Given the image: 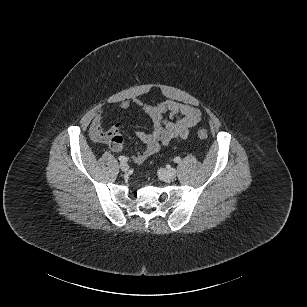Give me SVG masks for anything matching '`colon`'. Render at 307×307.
Returning a JSON list of instances; mask_svg holds the SVG:
<instances>
[{
    "mask_svg": "<svg viewBox=\"0 0 307 307\" xmlns=\"http://www.w3.org/2000/svg\"><path fill=\"white\" fill-rule=\"evenodd\" d=\"M197 136L201 140H206L208 138V131L204 128H198ZM108 143L113 150L119 151L123 147V138L119 132H111L108 136Z\"/></svg>",
    "mask_w": 307,
    "mask_h": 307,
    "instance_id": "5ec220e1",
    "label": "colon"
}]
</instances>
